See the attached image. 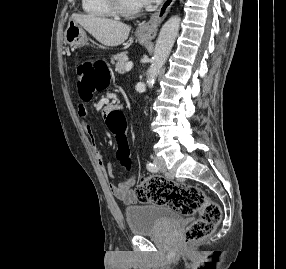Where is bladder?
<instances>
[{
  "label": "bladder",
  "mask_w": 286,
  "mask_h": 269,
  "mask_svg": "<svg viewBox=\"0 0 286 269\" xmlns=\"http://www.w3.org/2000/svg\"><path fill=\"white\" fill-rule=\"evenodd\" d=\"M125 217L131 233L138 236L167 229L182 220L177 211L155 204L128 207Z\"/></svg>",
  "instance_id": "bladder-1"
}]
</instances>
